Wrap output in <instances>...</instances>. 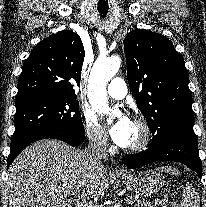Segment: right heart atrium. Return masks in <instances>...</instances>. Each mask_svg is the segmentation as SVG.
<instances>
[{"label": "right heart atrium", "instance_id": "right-heart-atrium-1", "mask_svg": "<svg viewBox=\"0 0 206 207\" xmlns=\"http://www.w3.org/2000/svg\"><path fill=\"white\" fill-rule=\"evenodd\" d=\"M83 128L90 143L97 148H106L108 145L107 133L99 124L96 116L89 110L81 113Z\"/></svg>", "mask_w": 206, "mask_h": 207}]
</instances>
